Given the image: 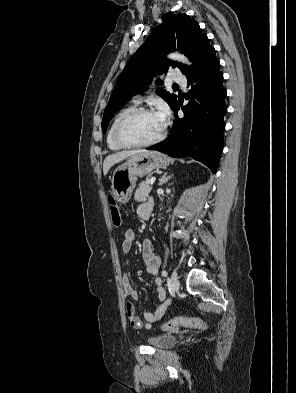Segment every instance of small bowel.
<instances>
[{
	"instance_id": "small-bowel-1",
	"label": "small bowel",
	"mask_w": 296,
	"mask_h": 393,
	"mask_svg": "<svg viewBox=\"0 0 296 393\" xmlns=\"http://www.w3.org/2000/svg\"><path fill=\"white\" fill-rule=\"evenodd\" d=\"M153 210L152 201L145 202L138 206L137 214L139 218L143 220H148L151 217ZM135 232L128 229L124 233V239L122 242V250L124 253L130 252L135 242ZM154 243L146 239L142 243V260L146 266V270L151 275H157L159 272L161 260L154 253ZM123 292L126 296L131 297L133 300L139 298L138 291L132 286L127 276L123 277ZM155 285L158 295L157 306L154 311L146 308L143 312V317L146 323H144L138 316L136 309L132 303L126 304V314L131 326L135 329L146 328L150 329L152 325L160 321L170 304V299L167 297L166 291L162 285V280L160 278L155 279Z\"/></svg>"
}]
</instances>
